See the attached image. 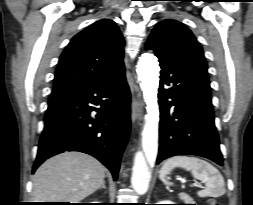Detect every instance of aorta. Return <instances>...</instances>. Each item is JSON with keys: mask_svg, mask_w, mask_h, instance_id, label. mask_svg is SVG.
I'll return each mask as SVG.
<instances>
[{"mask_svg": "<svg viewBox=\"0 0 253 205\" xmlns=\"http://www.w3.org/2000/svg\"><path fill=\"white\" fill-rule=\"evenodd\" d=\"M159 63L152 53L139 57L137 73L146 103L145 127L143 130V150L134 159L131 184L139 195L148 191L151 172L145 155L155 156L158 146L159 108L157 93L159 84Z\"/></svg>", "mask_w": 253, "mask_h": 205, "instance_id": "obj_1", "label": "aorta"}]
</instances>
